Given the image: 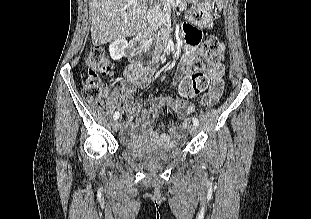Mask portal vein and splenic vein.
<instances>
[{"label": "portal vein and splenic vein", "mask_w": 311, "mask_h": 219, "mask_svg": "<svg viewBox=\"0 0 311 219\" xmlns=\"http://www.w3.org/2000/svg\"><path fill=\"white\" fill-rule=\"evenodd\" d=\"M167 2L173 4L174 3V0H166Z\"/></svg>", "instance_id": "portal-vein-and-splenic-vein-1"}]
</instances>
